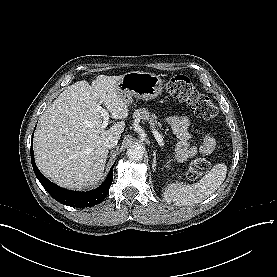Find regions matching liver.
Masks as SVG:
<instances>
[{
  "mask_svg": "<svg viewBox=\"0 0 277 277\" xmlns=\"http://www.w3.org/2000/svg\"><path fill=\"white\" fill-rule=\"evenodd\" d=\"M121 77L100 75L91 85L78 81L40 117L33 143L35 161L57 185L81 190L93 187L102 178L109 153L104 142L110 136L119 139L125 122L102 129L97 107L103 104L116 120L128 117V104L116 89Z\"/></svg>",
  "mask_w": 277,
  "mask_h": 277,
  "instance_id": "6515ba94",
  "label": "liver"
}]
</instances>
